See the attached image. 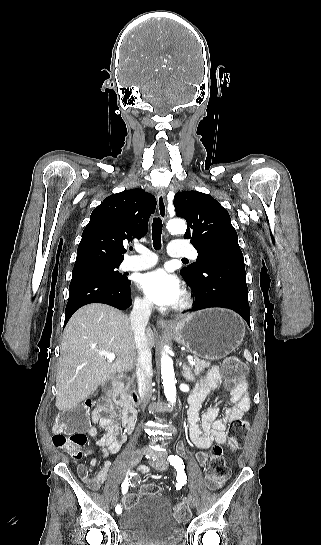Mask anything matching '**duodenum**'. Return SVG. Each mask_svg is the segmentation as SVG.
I'll return each instance as SVG.
<instances>
[{
  "mask_svg": "<svg viewBox=\"0 0 321 545\" xmlns=\"http://www.w3.org/2000/svg\"><path fill=\"white\" fill-rule=\"evenodd\" d=\"M105 389L108 400L121 408L123 428L126 432L132 433L137 420V412L127 399L123 382L121 380L108 382L105 384Z\"/></svg>",
  "mask_w": 321,
  "mask_h": 545,
  "instance_id": "410a0bca",
  "label": "duodenum"
}]
</instances>
